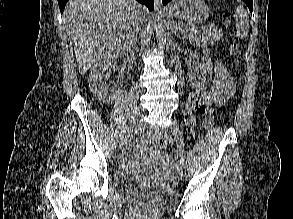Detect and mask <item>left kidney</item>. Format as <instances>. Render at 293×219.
Here are the masks:
<instances>
[{
  "instance_id": "5707ae66",
  "label": "left kidney",
  "mask_w": 293,
  "mask_h": 219,
  "mask_svg": "<svg viewBox=\"0 0 293 219\" xmlns=\"http://www.w3.org/2000/svg\"><path fill=\"white\" fill-rule=\"evenodd\" d=\"M212 70L211 59H202V63L196 66L195 71L187 74L188 81L196 90H206L212 80ZM196 73H200V75L196 76Z\"/></svg>"
}]
</instances>
